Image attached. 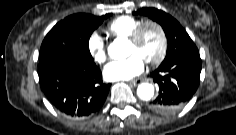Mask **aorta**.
I'll use <instances>...</instances> for the list:
<instances>
[{
	"mask_svg": "<svg viewBox=\"0 0 236 135\" xmlns=\"http://www.w3.org/2000/svg\"><path fill=\"white\" fill-rule=\"evenodd\" d=\"M125 42L114 40L108 47V55L112 59H121L124 56ZM137 95L141 100L148 101L154 95V86L150 83H141L137 88Z\"/></svg>",
	"mask_w": 236,
	"mask_h": 135,
	"instance_id": "762f6f07",
	"label": "aorta"
}]
</instances>
